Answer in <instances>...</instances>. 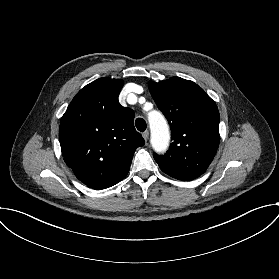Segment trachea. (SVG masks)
<instances>
[{"mask_svg": "<svg viewBox=\"0 0 279 279\" xmlns=\"http://www.w3.org/2000/svg\"><path fill=\"white\" fill-rule=\"evenodd\" d=\"M135 125L136 128L141 132L146 130V122L142 118H137V120L135 121Z\"/></svg>", "mask_w": 279, "mask_h": 279, "instance_id": "1", "label": "trachea"}]
</instances>
